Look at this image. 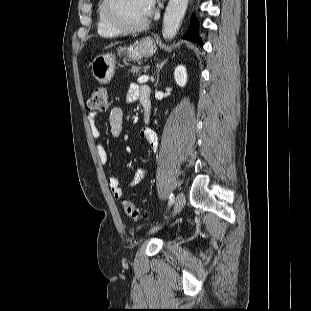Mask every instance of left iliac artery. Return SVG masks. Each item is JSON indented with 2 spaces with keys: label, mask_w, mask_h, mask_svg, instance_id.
Segmentation results:
<instances>
[{
  "label": "left iliac artery",
  "mask_w": 311,
  "mask_h": 311,
  "mask_svg": "<svg viewBox=\"0 0 311 311\" xmlns=\"http://www.w3.org/2000/svg\"><path fill=\"white\" fill-rule=\"evenodd\" d=\"M173 203H174V195L171 194V195L169 196V203H168L169 207H170Z\"/></svg>",
  "instance_id": "left-iliac-artery-1"
}]
</instances>
